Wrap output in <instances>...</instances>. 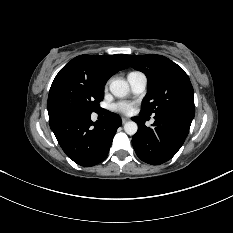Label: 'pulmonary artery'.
<instances>
[{"instance_id":"obj_1","label":"pulmonary artery","mask_w":233,"mask_h":233,"mask_svg":"<svg viewBox=\"0 0 233 233\" xmlns=\"http://www.w3.org/2000/svg\"><path fill=\"white\" fill-rule=\"evenodd\" d=\"M130 87L135 94H142L147 86V78L142 73L133 74L128 77Z\"/></svg>"}]
</instances>
